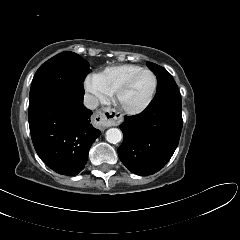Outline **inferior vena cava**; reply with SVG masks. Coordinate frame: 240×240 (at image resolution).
Here are the masks:
<instances>
[{"mask_svg":"<svg viewBox=\"0 0 240 240\" xmlns=\"http://www.w3.org/2000/svg\"><path fill=\"white\" fill-rule=\"evenodd\" d=\"M84 106L91 110L96 109L99 106V100L91 94H85Z\"/></svg>","mask_w":240,"mask_h":240,"instance_id":"602c4592","label":"inferior vena cava"}]
</instances>
